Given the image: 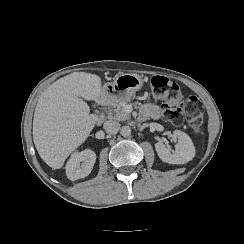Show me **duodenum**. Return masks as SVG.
<instances>
[{
    "mask_svg": "<svg viewBox=\"0 0 244 244\" xmlns=\"http://www.w3.org/2000/svg\"><path fill=\"white\" fill-rule=\"evenodd\" d=\"M111 96H112V94H109V95H106V96H101V97H99L98 100H97V102H96V104H95V107H96L97 109H100L101 106H102L104 103H107V102L110 100Z\"/></svg>",
    "mask_w": 244,
    "mask_h": 244,
    "instance_id": "410a0bca",
    "label": "duodenum"
}]
</instances>
